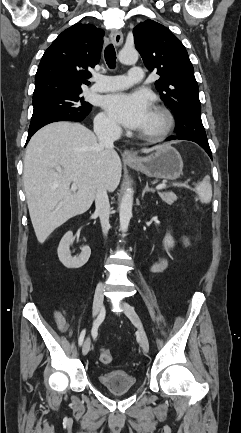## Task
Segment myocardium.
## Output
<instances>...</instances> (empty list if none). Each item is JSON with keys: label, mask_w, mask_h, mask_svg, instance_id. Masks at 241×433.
<instances>
[{"label": "myocardium", "mask_w": 241, "mask_h": 433, "mask_svg": "<svg viewBox=\"0 0 241 433\" xmlns=\"http://www.w3.org/2000/svg\"><path fill=\"white\" fill-rule=\"evenodd\" d=\"M152 112L160 119L161 126L157 129L142 130L140 135L149 141H160L171 132L174 119L171 112L162 105H154Z\"/></svg>", "instance_id": "obj_1"}]
</instances>
